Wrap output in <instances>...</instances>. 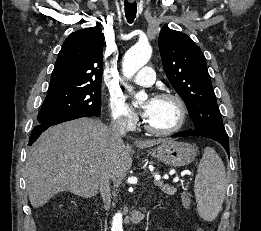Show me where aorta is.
Masks as SVG:
<instances>
[{"mask_svg": "<svg viewBox=\"0 0 261 231\" xmlns=\"http://www.w3.org/2000/svg\"><path fill=\"white\" fill-rule=\"evenodd\" d=\"M152 48L148 43H137L131 47L125 54L122 63V72L125 78L130 79L141 67H143L150 59ZM126 88L131 92L129 86ZM135 104L147 99V94L144 91L135 94ZM111 231H123L122 213L117 212L112 221Z\"/></svg>", "mask_w": 261, "mask_h": 231, "instance_id": "aorta-1", "label": "aorta"}]
</instances>
